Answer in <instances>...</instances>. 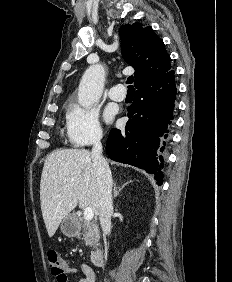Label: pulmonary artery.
<instances>
[{
  "instance_id": "obj_1",
  "label": "pulmonary artery",
  "mask_w": 232,
  "mask_h": 282,
  "mask_svg": "<svg viewBox=\"0 0 232 282\" xmlns=\"http://www.w3.org/2000/svg\"><path fill=\"white\" fill-rule=\"evenodd\" d=\"M108 94L114 101H123L126 97V90L123 85L117 84L110 88Z\"/></svg>"
}]
</instances>
